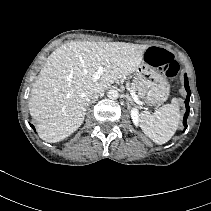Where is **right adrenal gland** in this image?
Listing matches in <instances>:
<instances>
[{
    "label": "right adrenal gland",
    "instance_id": "obj_1",
    "mask_svg": "<svg viewBox=\"0 0 211 211\" xmlns=\"http://www.w3.org/2000/svg\"><path fill=\"white\" fill-rule=\"evenodd\" d=\"M94 102H95L94 100L91 101V102H89L88 106H90V105L93 104Z\"/></svg>",
    "mask_w": 211,
    "mask_h": 211
}]
</instances>
